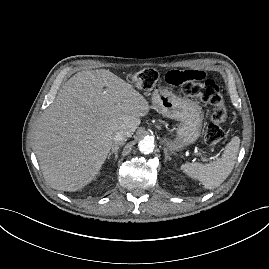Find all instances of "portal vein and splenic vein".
<instances>
[{
    "label": "portal vein and splenic vein",
    "mask_w": 269,
    "mask_h": 269,
    "mask_svg": "<svg viewBox=\"0 0 269 269\" xmlns=\"http://www.w3.org/2000/svg\"><path fill=\"white\" fill-rule=\"evenodd\" d=\"M195 155L200 156V153L195 152ZM201 159H202V157H201Z\"/></svg>",
    "instance_id": "portal-vein-and-splenic-vein-1"
}]
</instances>
